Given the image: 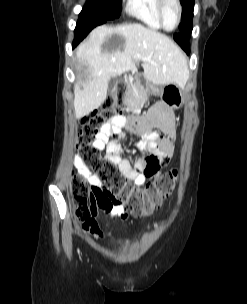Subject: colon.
<instances>
[{
    "instance_id": "1",
    "label": "colon",
    "mask_w": 247,
    "mask_h": 304,
    "mask_svg": "<svg viewBox=\"0 0 247 304\" xmlns=\"http://www.w3.org/2000/svg\"><path fill=\"white\" fill-rule=\"evenodd\" d=\"M125 90V86L120 85L114 94L106 98L100 109L81 120L78 144L81 157L100 180L103 190L120 201L126 211L134 215H142L158 207L173 191L178 174L177 171L162 174L148 183L145 188L137 189L121 173L117 165L104 162V156L94 145V139L107 121L120 114ZM148 162L151 168L157 167L156 158L148 159ZM71 190L77 218L83 225L89 223L92 220L95 201L100 199V193L81 175L73 177Z\"/></svg>"
}]
</instances>
